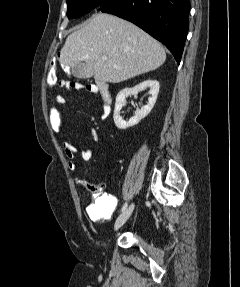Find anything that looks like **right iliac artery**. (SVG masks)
<instances>
[{"label": "right iliac artery", "instance_id": "right-iliac-artery-1", "mask_svg": "<svg viewBox=\"0 0 240 287\" xmlns=\"http://www.w3.org/2000/svg\"><path fill=\"white\" fill-rule=\"evenodd\" d=\"M127 206H128L127 203H125L121 209V212H124L126 210Z\"/></svg>", "mask_w": 240, "mask_h": 287}]
</instances>
